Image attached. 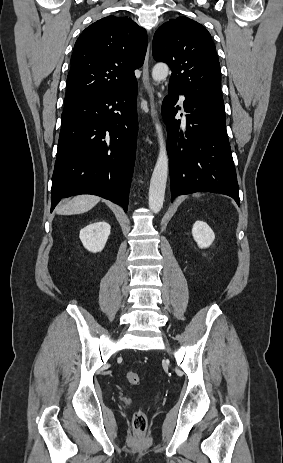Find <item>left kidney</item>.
Instances as JSON below:
<instances>
[{
  "label": "left kidney",
  "instance_id": "5707ae66",
  "mask_svg": "<svg viewBox=\"0 0 283 463\" xmlns=\"http://www.w3.org/2000/svg\"><path fill=\"white\" fill-rule=\"evenodd\" d=\"M192 235L199 248H208L215 239L213 230L204 221L193 224Z\"/></svg>",
  "mask_w": 283,
  "mask_h": 463
}]
</instances>
